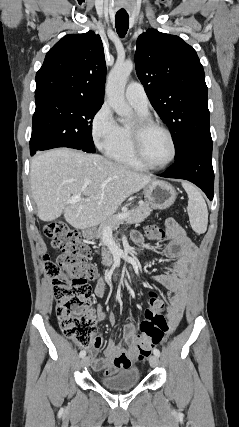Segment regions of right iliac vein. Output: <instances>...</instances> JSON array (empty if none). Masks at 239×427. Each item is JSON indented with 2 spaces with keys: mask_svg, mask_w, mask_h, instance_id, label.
<instances>
[{
  "mask_svg": "<svg viewBox=\"0 0 239 427\" xmlns=\"http://www.w3.org/2000/svg\"><path fill=\"white\" fill-rule=\"evenodd\" d=\"M90 364V359L89 357H83V359L81 360V365L82 367H88Z\"/></svg>",
  "mask_w": 239,
  "mask_h": 427,
  "instance_id": "63e3f726",
  "label": "right iliac vein"
}]
</instances>
